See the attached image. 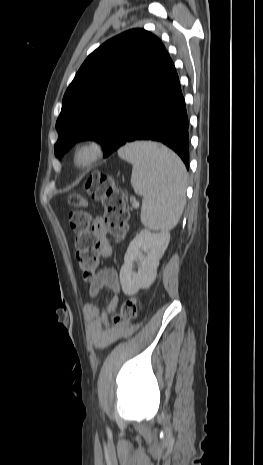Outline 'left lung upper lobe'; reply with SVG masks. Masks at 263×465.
<instances>
[{"label": "left lung upper lobe", "mask_w": 263, "mask_h": 465, "mask_svg": "<svg viewBox=\"0 0 263 465\" xmlns=\"http://www.w3.org/2000/svg\"><path fill=\"white\" fill-rule=\"evenodd\" d=\"M164 51L158 37L144 29H132L92 52L63 97L55 155L61 157L85 139L106 146L121 112L133 101L138 82Z\"/></svg>", "instance_id": "1"}]
</instances>
